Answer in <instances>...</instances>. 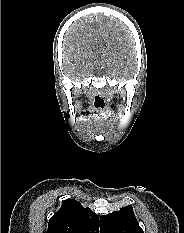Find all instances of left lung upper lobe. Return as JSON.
I'll use <instances>...</instances> for the list:
<instances>
[{"instance_id":"obj_1","label":"left lung upper lobe","mask_w":184,"mask_h":233,"mask_svg":"<svg viewBox=\"0 0 184 233\" xmlns=\"http://www.w3.org/2000/svg\"><path fill=\"white\" fill-rule=\"evenodd\" d=\"M100 233H144L131 206L100 217Z\"/></svg>"}]
</instances>
